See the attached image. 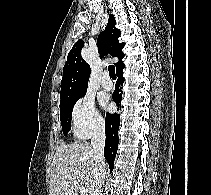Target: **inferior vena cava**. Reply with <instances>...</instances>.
<instances>
[{"mask_svg":"<svg viewBox=\"0 0 211 195\" xmlns=\"http://www.w3.org/2000/svg\"><path fill=\"white\" fill-rule=\"evenodd\" d=\"M91 145L94 152L95 176L92 182L90 195H103L102 186L106 174V162L104 158L105 127L103 124L95 127Z\"/></svg>","mask_w":211,"mask_h":195,"instance_id":"obj_1","label":"inferior vena cava"}]
</instances>
